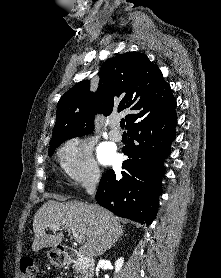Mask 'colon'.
I'll return each mask as SVG.
<instances>
[{
	"label": "colon",
	"instance_id": "obj_1",
	"mask_svg": "<svg viewBox=\"0 0 221 278\" xmlns=\"http://www.w3.org/2000/svg\"><path fill=\"white\" fill-rule=\"evenodd\" d=\"M20 278H39L38 267L32 258H24L19 268ZM59 278V277H56Z\"/></svg>",
	"mask_w": 221,
	"mask_h": 278
}]
</instances>
